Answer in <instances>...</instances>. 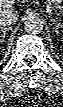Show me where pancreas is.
Instances as JSON below:
<instances>
[{
  "instance_id": "1",
  "label": "pancreas",
  "mask_w": 63,
  "mask_h": 107,
  "mask_svg": "<svg viewBox=\"0 0 63 107\" xmlns=\"http://www.w3.org/2000/svg\"><path fill=\"white\" fill-rule=\"evenodd\" d=\"M52 5L55 7V8H57V9H61L62 7H61V1H59V0H54L53 2H52Z\"/></svg>"
}]
</instances>
